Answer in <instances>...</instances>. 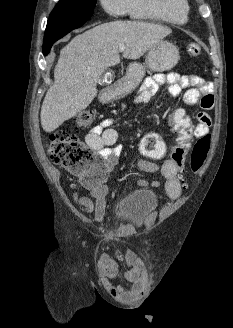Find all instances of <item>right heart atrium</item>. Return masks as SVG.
I'll return each mask as SVG.
<instances>
[{"label": "right heart atrium", "instance_id": "right-heart-atrium-1", "mask_svg": "<svg viewBox=\"0 0 233 328\" xmlns=\"http://www.w3.org/2000/svg\"><path fill=\"white\" fill-rule=\"evenodd\" d=\"M104 10L112 16L123 15L127 11V0H100Z\"/></svg>", "mask_w": 233, "mask_h": 328}]
</instances>
